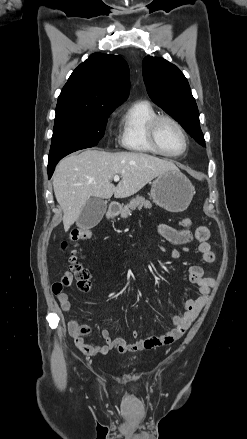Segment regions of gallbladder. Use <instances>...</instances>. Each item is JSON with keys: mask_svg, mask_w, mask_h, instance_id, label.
I'll return each mask as SVG.
<instances>
[{"mask_svg": "<svg viewBox=\"0 0 247 439\" xmlns=\"http://www.w3.org/2000/svg\"><path fill=\"white\" fill-rule=\"evenodd\" d=\"M107 202L100 198H90L84 205L76 224L79 228L90 229L95 227L106 212Z\"/></svg>", "mask_w": 247, "mask_h": 439, "instance_id": "obj_1", "label": "gallbladder"}]
</instances>
